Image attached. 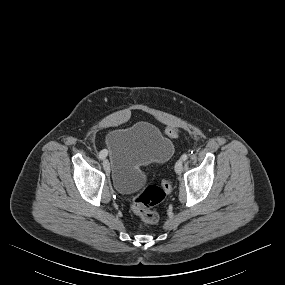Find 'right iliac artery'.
Wrapping results in <instances>:
<instances>
[{
  "mask_svg": "<svg viewBox=\"0 0 285 285\" xmlns=\"http://www.w3.org/2000/svg\"><path fill=\"white\" fill-rule=\"evenodd\" d=\"M107 155V152L105 150H102L99 152V159H104Z\"/></svg>",
  "mask_w": 285,
  "mask_h": 285,
  "instance_id": "right-iliac-artery-1",
  "label": "right iliac artery"
}]
</instances>
